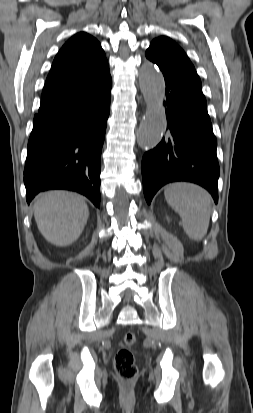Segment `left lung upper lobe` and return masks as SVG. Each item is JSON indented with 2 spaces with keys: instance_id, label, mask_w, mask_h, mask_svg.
Returning <instances> with one entry per match:
<instances>
[{
  "instance_id": "5c2ea615",
  "label": "left lung upper lobe",
  "mask_w": 253,
  "mask_h": 413,
  "mask_svg": "<svg viewBox=\"0 0 253 413\" xmlns=\"http://www.w3.org/2000/svg\"><path fill=\"white\" fill-rule=\"evenodd\" d=\"M146 57L156 63L161 71L188 75L200 81L185 52L168 37L154 39L146 51Z\"/></svg>"
}]
</instances>
